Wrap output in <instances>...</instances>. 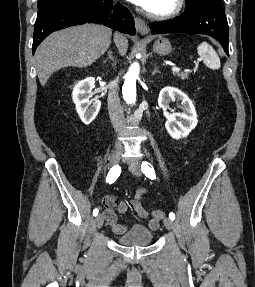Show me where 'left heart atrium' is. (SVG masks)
<instances>
[{
    "label": "left heart atrium",
    "mask_w": 255,
    "mask_h": 287,
    "mask_svg": "<svg viewBox=\"0 0 255 287\" xmlns=\"http://www.w3.org/2000/svg\"><path fill=\"white\" fill-rule=\"evenodd\" d=\"M137 1L142 5H146L149 0H137ZM118 13H121V12H118Z\"/></svg>",
    "instance_id": "1"
}]
</instances>
